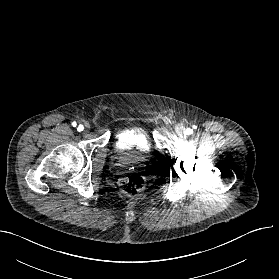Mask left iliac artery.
<instances>
[{
	"label": "left iliac artery",
	"instance_id": "obj_1",
	"mask_svg": "<svg viewBox=\"0 0 279 279\" xmlns=\"http://www.w3.org/2000/svg\"><path fill=\"white\" fill-rule=\"evenodd\" d=\"M192 129H190V128H187L186 130H185V134L186 135H190V134H192Z\"/></svg>",
	"mask_w": 279,
	"mask_h": 279
}]
</instances>
